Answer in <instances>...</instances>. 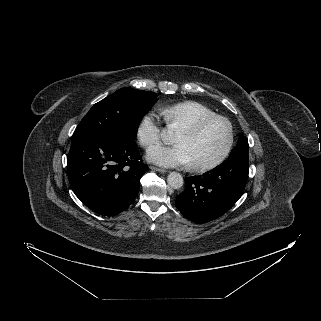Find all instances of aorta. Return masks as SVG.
Segmentation results:
<instances>
[{"label":"aorta","instance_id":"aorta-1","mask_svg":"<svg viewBox=\"0 0 321 321\" xmlns=\"http://www.w3.org/2000/svg\"><path fill=\"white\" fill-rule=\"evenodd\" d=\"M168 185L173 189H179L183 186V177L180 173L171 172L167 177Z\"/></svg>","mask_w":321,"mask_h":321}]
</instances>
